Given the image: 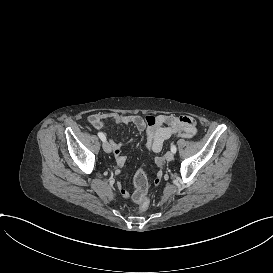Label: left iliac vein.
I'll return each instance as SVG.
<instances>
[{"label": "left iliac vein", "mask_w": 273, "mask_h": 273, "mask_svg": "<svg viewBox=\"0 0 273 273\" xmlns=\"http://www.w3.org/2000/svg\"><path fill=\"white\" fill-rule=\"evenodd\" d=\"M165 159L167 161H172L174 159V153L171 152V151L167 152L166 155H165Z\"/></svg>", "instance_id": "left-iliac-vein-1"}]
</instances>
